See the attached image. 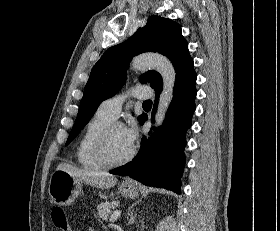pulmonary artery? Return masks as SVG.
<instances>
[{
  "label": "pulmonary artery",
  "instance_id": "1",
  "mask_svg": "<svg viewBox=\"0 0 280 231\" xmlns=\"http://www.w3.org/2000/svg\"><path fill=\"white\" fill-rule=\"evenodd\" d=\"M130 96L139 100H146L152 96V91L148 86H135L130 92L121 93L104 100L99 105L97 112L107 115L115 120L119 117L124 102Z\"/></svg>",
  "mask_w": 280,
  "mask_h": 231
}]
</instances>
